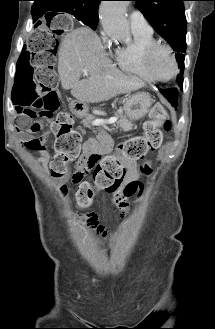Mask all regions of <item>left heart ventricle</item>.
Wrapping results in <instances>:
<instances>
[{
	"mask_svg": "<svg viewBox=\"0 0 215 329\" xmlns=\"http://www.w3.org/2000/svg\"><path fill=\"white\" fill-rule=\"evenodd\" d=\"M151 67L157 77L168 78L172 74L174 64L166 49H159L154 53Z\"/></svg>",
	"mask_w": 215,
	"mask_h": 329,
	"instance_id": "obj_1",
	"label": "left heart ventricle"
}]
</instances>
